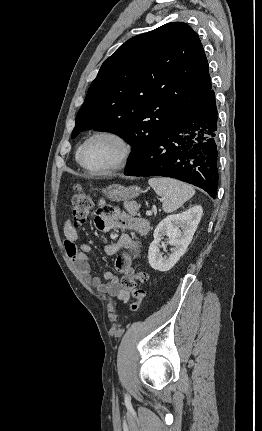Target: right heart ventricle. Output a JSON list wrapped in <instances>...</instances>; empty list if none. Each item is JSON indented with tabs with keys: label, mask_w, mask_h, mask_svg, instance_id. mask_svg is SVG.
<instances>
[{
	"label": "right heart ventricle",
	"mask_w": 262,
	"mask_h": 431,
	"mask_svg": "<svg viewBox=\"0 0 262 431\" xmlns=\"http://www.w3.org/2000/svg\"><path fill=\"white\" fill-rule=\"evenodd\" d=\"M80 148H81V147H79V148L77 149V151H76V162H77V163H79V161H78V155H79Z\"/></svg>",
	"instance_id": "right-heart-ventricle-1"
}]
</instances>
